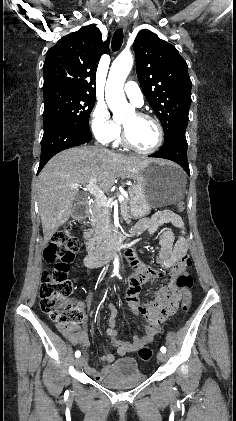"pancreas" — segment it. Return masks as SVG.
Segmentation results:
<instances>
[{
  "instance_id": "1",
  "label": "pancreas",
  "mask_w": 236,
  "mask_h": 421,
  "mask_svg": "<svg viewBox=\"0 0 236 421\" xmlns=\"http://www.w3.org/2000/svg\"><path fill=\"white\" fill-rule=\"evenodd\" d=\"M118 194H121L119 190ZM129 200L130 198H124V200L120 202L122 219L123 221H126V223H131L128 206ZM90 208L91 213H87V215L89 217L91 229H89V233H85L84 239L88 241L89 253H96V251H99L103 241H106L108 237L107 233H110L112 229L111 211L110 208H105V206L98 204L97 200L91 204Z\"/></svg>"
}]
</instances>
